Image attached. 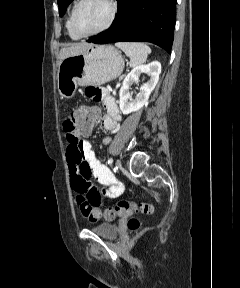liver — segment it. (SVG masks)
I'll use <instances>...</instances> for the list:
<instances>
[{
	"label": "liver",
	"mask_w": 240,
	"mask_h": 288,
	"mask_svg": "<svg viewBox=\"0 0 240 288\" xmlns=\"http://www.w3.org/2000/svg\"><path fill=\"white\" fill-rule=\"evenodd\" d=\"M90 45L91 44H88V43H79V44L72 45L71 47L63 48L61 49L59 53V59L60 61H62L66 57L80 53L81 51H83L85 48H87Z\"/></svg>",
	"instance_id": "1"
}]
</instances>
